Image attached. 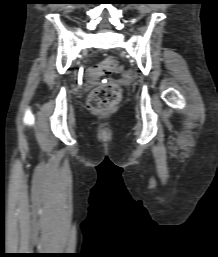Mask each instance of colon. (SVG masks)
<instances>
[{
  "mask_svg": "<svg viewBox=\"0 0 218 257\" xmlns=\"http://www.w3.org/2000/svg\"><path fill=\"white\" fill-rule=\"evenodd\" d=\"M111 73L117 74V79H134L135 75L132 70H123L118 60L109 56L100 62L97 66L88 71V78L94 82L100 77L109 75ZM79 82H86V75L80 74ZM89 85L88 83L86 84ZM121 99V89L116 84L101 85L95 88L87 99V106L89 110L94 113H105L113 110Z\"/></svg>",
  "mask_w": 218,
  "mask_h": 257,
  "instance_id": "obj_1",
  "label": "colon"
}]
</instances>
